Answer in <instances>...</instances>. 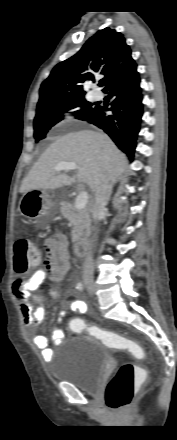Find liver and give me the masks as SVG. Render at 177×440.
Masks as SVG:
<instances>
[{
  "instance_id": "liver-1",
  "label": "liver",
  "mask_w": 177,
  "mask_h": 440,
  "mask_svg": "<svg viewBox=\"0 0 177 440\" xmlns=\"http://www.w3.org/2000/svg\"><path fill=\"white\" fill-rule=\"evenodd\" d=\"M60 162H74L78 166V183H86L94 191L100 177L116 180L128 167L126 156L104 133L83 130L68 133L46 149L22 181L20 192L53 190L71 185L66 173H57Z\"/></svg>"
}]
</instances>
